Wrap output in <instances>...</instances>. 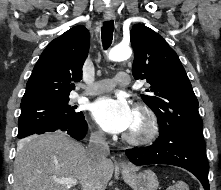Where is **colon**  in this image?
Returning <instances> with one entry per match:
<instances>
[{"label": "colon", "instance_id": "1", "mask_svg": "<svg viewBox=\"0 0 221 190\" xmlns=\"http://www.w3.org/2000/svg\"><path fill=\"white\" fill-rule=\"evenodd\" d=\"M169 190H187V186L184 182L180 181L171 186Z\"/></svg>", "mask_w": 221, "mask_h": 190}]
</instances>
